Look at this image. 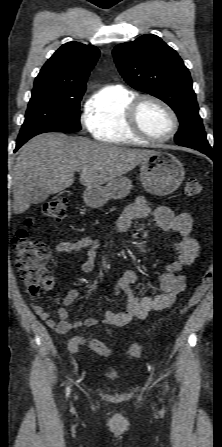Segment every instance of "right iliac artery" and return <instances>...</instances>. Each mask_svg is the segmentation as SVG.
I'll return each mask as SVG.
<instances>
[{"instance_id": "1", "label": "right iliac artery", "mask_w": 222, "mask_h": 447, "mask_svg": "<svg viewBox=\"0 0 222 447\" xmlns=\"http://www.w3.org/2000/svg\"><path fill=\"white\" fill-rule=\"evenodd\" d=\"M69 394V388L67 389V395Z\"/></svg>"}]
</instances>
